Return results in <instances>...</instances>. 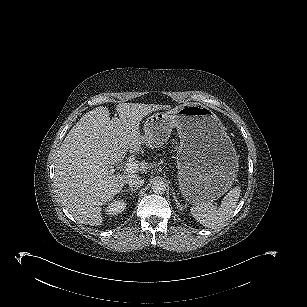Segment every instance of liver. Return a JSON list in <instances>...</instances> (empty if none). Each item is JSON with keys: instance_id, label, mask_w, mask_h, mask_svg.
<instances>
[{"instance_id": "1", "label": "liver", "mask_w": 307, "mask_h": 307, "mask_svg": "<svg viewBox=\"0 0 307 307\" xmlns=\"http://www.w3.org/2000/svg\"><path fill=\"white\" fill-rule=\"evenodd\" d=\"M170 109L168 105L119 103V118L96 107L86 113L65 137L55 158L54 185L62 205L80 223L99 226L101 206L110 201L136 172L110 175L108 167L121 162L128 150L143 154L148 137L139 131L148 114ZM149 146V145H148ZM138 171L149 166L141 163Z\"/></svg>"}]
</instances>
